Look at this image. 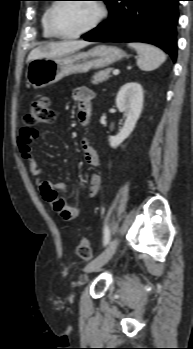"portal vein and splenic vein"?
I'll list each match as a JSON object with an SVG mask.
<instances>
[{
  "label": "portal vein and splenic vein",
  "instance_id": "portal-vein-and-splenic-vein-1",
  "mask_svg": "<svg viewBox=\"0 0 193 349\" xmlns=\"http://www.w3.org/2000/svg\"><path fill=\"white\" fill-rule=\"evenodd\" d=\"M119 70L118 69H115V70H113V75H118L119 74Z\"/></svg>",
  "mask_w": 193,
  "mask_h": 349
}]
</instances>
